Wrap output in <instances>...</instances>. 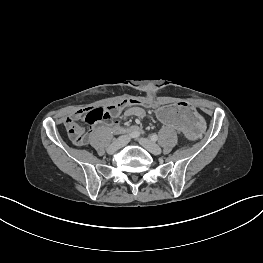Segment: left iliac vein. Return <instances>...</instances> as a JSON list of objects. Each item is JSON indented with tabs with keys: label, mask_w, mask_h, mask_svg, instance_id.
Returning <instances> with one entry per match:
<instances>
[{
	"label": "left iliac vein",
	"mask_w": 263,
	"mask_h": 263,
	"mask_svg": "<svg viewBox=\"0 0 263 263\" xmlns=\"http://www.w3.org/2000/svg\"><path fill=\"white\" fill-rule=\"evenodd\" d=\"M139 143L149 152H151L154 155L161 154L162 150L161 148L152 140L147 138H139Z\"/></svg>",
	"instance_id": "1"
}]
</instances>
